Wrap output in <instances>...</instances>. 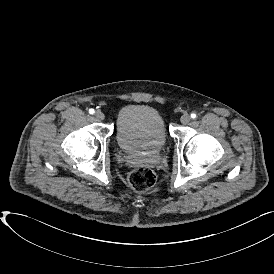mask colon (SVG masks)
<instances>
[{
    "label": "colon",
    "mask_w": 274,
    "mask_h": 274,
    "mask_svg": "<svg viewBox=\"0 0 274 274\" xmlns=\"http://www.w3.org/2000/svg\"><path fill=\"white\" fill-rule=\"evenodd\" d=\"M128 183L136 192H145L154 187L156 175L150 168H137L129 174Z\"/></svg>",
    "instance_id": "colon-1"
}]
</instances>
